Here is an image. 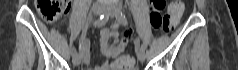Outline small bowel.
I'll return each instance as SVG.
<instances>
[{
    "mask_svg": "<svg viewBox=\"0 0 238 70\" xmlns=\"http://www.w3.org/2000/svg\"><path fill=\"white\" fill-rule=\"evenodd\" d=\"M130 33V31H127ZM119 34V26L114 24L110 28H103L100 32V51L103 56L106 58H115L117 57L124 48L121 47V40H117ZM114 39L113 43H110V40ZM80 52L84 59L85 68H89V52H90V42L86 37H82L79 42ZM93 70H110V64L108 61H103L100 65H97Z\"/></svg>",
    "mask_w": 238,
    "mask_h": 70,
    "instance_id": "1",
    "label": "small bowel"
}]
</instances>
